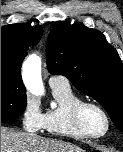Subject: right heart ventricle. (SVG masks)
Here are the masks:
<instances>
[{
	"label": "right heart ventricle",
	"instance_id": "e07e8e85",
	"mask_svg": "<svg viewBox=\"0 0 123 152\" xmlns=\"http://www.w3.org/2000/svg\"><path fill=\"white\" fill-rule=\"evenodd\" d=\"M57 105L44 113L43 129L52 136L83 139L74 126L72 120V108L81 99L72 91L71 87L52 88Z\"/></svg>",
	"mask_w": 123,
	"mask_h": 152
}]
</instances>
